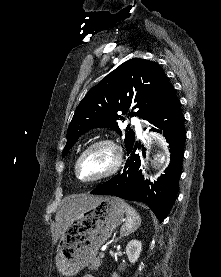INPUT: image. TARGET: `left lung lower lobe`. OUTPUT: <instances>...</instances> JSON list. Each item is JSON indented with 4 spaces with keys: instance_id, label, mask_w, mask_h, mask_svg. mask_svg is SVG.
Instances as JSON below:
<instances>
[{
    "instance_id": "1",
    "label": "left lung lower lobe",
    "mask_w": 221,
    "mask_h": 277,
    "mask_svg": "<svg viewBox=\"0 0 221 277\" xmlns=\"http://www.w3.org/2000/svg\"><path fill=\"white\" fill-rule=\"evenodd\" d=\"M150 131L163 132L170 147L171 161L165 174L154 183L144 180L139 154H136L137 142L127 152L131 157L126 161L121 173L99 185L91 194L114 195L123 199L141 201L149 205L157 219L162 222L169 214L178 191L186 132L180 101L176 93L161 105L148 119ZM146 130V128L144 129Z\"/></svg>"
}]
</instances>
